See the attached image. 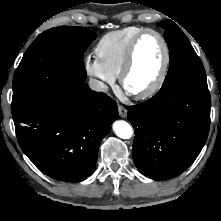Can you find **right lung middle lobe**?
Listing matches in <instances>:
<instances>
[{"mask_svg":"<svg viewBox=\"0 0 221 221\" xmlns=\"http://www.w3.org/2000/svg\"><path fill=\"white\" fill-rule=\"evenodd\" d=\"M95 38L85 27L60 26L41 33L15 71L12 114L85 80L83 54Z\"/></svg>","mask_w":221,"mask_h":221,"instance_id":"1","label":"right lung middle lobe"}]
</instances>
